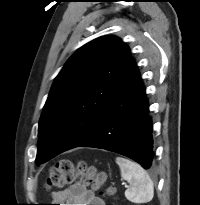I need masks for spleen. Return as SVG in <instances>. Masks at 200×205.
I'll list each match as a JSON object with an SVG mask.
<instances>
[{"mask_svg":"<svg viewBox=\"0 0 200 205\" xmlns=\"http://www.w3.org/2000/svg\"><path fill=\"white\" fill-rule=\"evenodd\" d=\"M115 161L120 167L122 179L130 184L125 191V197L136 204L151 201L154 196V187L147 172L129 159L117 157Z\"/></svg>","mask_w":200,"mask_h":205,"instance_id":"3e777b00","label":"spleen"}]
</instances>
